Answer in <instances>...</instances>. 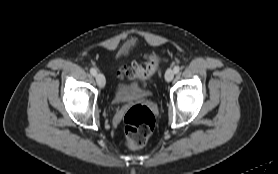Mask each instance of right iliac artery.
Returning a JSON list of instances; mask_svg holds the SVG:
<instances>
[{"instance_id": "obj_1", "label": "right iliac artery", "mask_w": 278, "mask_h": 174, "mask_svg": "<svg viewBox=\"0 0 278 174\" xmlns=\"http://www.w3.org/2000/svg\"><path fill=\"white\" fill-rule=\"evenodd\" d=\"M90 73L93 75V76H96L97 75V70L95 68H91L90 69Z\"/></svg>"}]
</instances>
